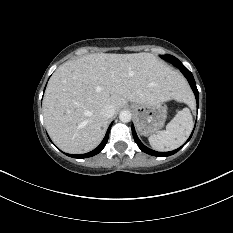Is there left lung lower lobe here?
I'll return each instance as SVG.
<instances>
[{
  "label": "left lung lower lobe",
  "mask_w": 233,
  "mask_h": 233,
  "mask_svg": "<svg viewBox=\"0 0 233 233\" xmlns=\"http://www.w3.org/2000/svg\"><path fill=\"white\" fill-rule=\"evenodd\" d=\"M174 66H176L177 68L180 69V71L183 73V75L186 77V79L188 80L195 96H196V101H197V108L199 106V93H198V90H197V87H196V83H195V80L193 78V75L192 73L180 62H175L173 64ZM132 133H133V137H134V140L135 142L137 143L138 147L145 153L147 154H150V155H153V156H159V157H166V156H170V155H173L175 154L176 152H178L183 146H181L180 148L174 150V151H170V152H157V151H154V150H151L149 149L148 147H146L145 145H143V143L139 140V138L137 137V134L135 132V129H134V126L132 125ZM193 134V132H192ZM191 134V136H192ZM191 136L189 137V139L186 141V143L190 140ZM185 143V144H186Z\"/></svg>",
  "instance_id": "1"
}]
</instances>
